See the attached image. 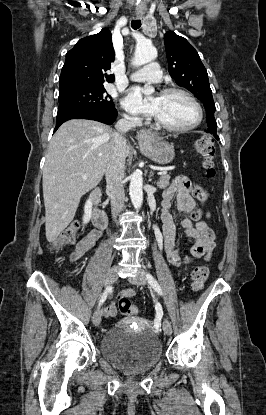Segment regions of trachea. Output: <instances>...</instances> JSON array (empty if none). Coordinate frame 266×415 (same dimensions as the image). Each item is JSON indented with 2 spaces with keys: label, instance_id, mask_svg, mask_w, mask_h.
Returning a JSON list of instances; mask_svg holds the SVG:
<instances>
[{
  "label": "trachea",
  "instance_id": "obj_1",
  "mask_svg": "<svg viewBox=\"0 0 266 415\" xmlns=\"http://www.w3.org/2000/svg\"><path fill=\"white\" fill-rule=\"evenodd\" d=\"M131 26L134 30H136V29L141 27V21L140 20H133L131 22Z\"/></svg>",
  "mask_w": 266,
  "mask_h": 415
}]
</instances>
